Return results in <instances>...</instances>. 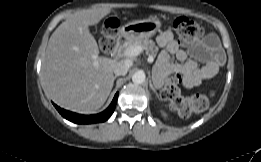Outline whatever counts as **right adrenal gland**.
Instances as JSON below:
<instances>
[{
  "label": "right adrenal gland",
  "instance_id": "right-adrenal-gland-1",
  "mask_svg": "<svg viewBox=\"0 0 261 162\" xmlns=\"http://www.w3.org/2000/svg\"><path fill=\"white\" fill-rule=\"evenodd\" d=\"M117 77H118V75H115V76H114V80H115Z\"/></svg>",
  "mask_w": 261,
  "mask_h": 162
}]
</instances>
